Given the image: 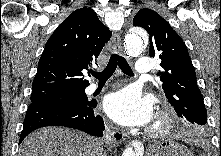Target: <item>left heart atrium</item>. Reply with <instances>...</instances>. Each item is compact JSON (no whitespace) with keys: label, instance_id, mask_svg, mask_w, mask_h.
Masks as SVG:
<instances>
[{"label":"left heart atrium","instance_id":"1","mask_svg":"<svg viewBox=\"0 0 221 156\" xmlns=\"http://www.w3.org/2000/svg\"><path fill=\"white\" fill-rule=\"evenodd\" d=\"M103 108L111 120L125 127L147 126L154 116L152 100L133 87L107 95Z\"/></svg>","mask_w":221,"mask_h":156}]
</instances>
